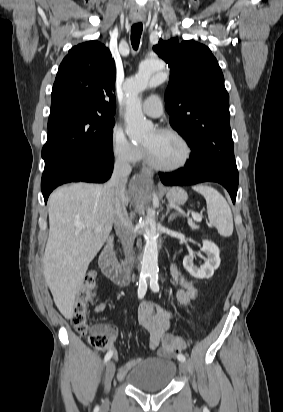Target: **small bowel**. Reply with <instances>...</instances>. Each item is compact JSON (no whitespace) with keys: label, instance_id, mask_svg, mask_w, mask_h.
<instances>
[{"label":"small bowel","instance_id":"c3829d8e","mask_svg":"<svg viewBox=\"0 0 283 412\" xmlns=\"http://www.w3.org/2000/svg\"><path fill=\"white\" fill-rule=\"evenodd\" d=\"M170 272L174 283H179L181 287L177 294L178 300L183 305L189 304L197 297L198 291L196 287L181 275L175 265L171 267ZM107 305V301L101 302L96 305L94 310L97 313L103 312ZM137 314L139 324L149 333L148 348L151 351H156L159 356L166 357L171 355L172 353L168 354L159 349V345L162 337L170 327L173 317L172 312L163 306H156L151 302L144 301L139 305ZM100 327L108 336V350L112 351V353L115 352V343L119 336L118 328L111 324H105ZM115 357H117L116 353ZM142 361H144V357H136L123 363L118 370L119 379L122 380L131 368L139 365Z\"/></svg>","mask_w":283,"mask_h":412}]
</instances>
